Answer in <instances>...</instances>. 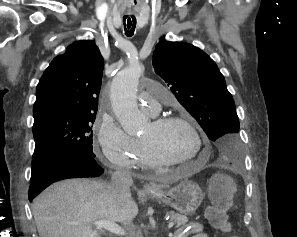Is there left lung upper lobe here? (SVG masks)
I'll return each mask as SVG.
<instances>
[{
  "label": "left lung upper lobe",
  "instance_id": "1",
  "mask_svg": "<svg viewBox=\"0 0 297 237\" xmlns=\"http://www.w3.org/2000/svg\"><path fill=\"white\" fill-rule=\"evenodd\" d=\"M152 64L214 142L219 157L239 159L242 149L235 103L214 61L191 44L160 41Z\"/></svg>",
  "mask_w": 297,
  "mask_h": 237
}]
</instances>
